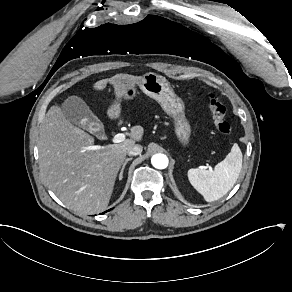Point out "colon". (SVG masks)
Masks as SVG:
<instances>
[{"mask_svg":"<svg viewBox=\"0 0 292 292\" xmlns=\"http://www.w3.org/2000/svg\"><path fill=\"white\" fill-rule=\"evenodd\" d=\"M207 97L208 108L212 115L216 130L221 134H229L231 127L226 120V108L224 104L213 93H209Z\"/></svg>","mask_w":292,"mask_h":292,"instance_id":"colon-1","label":"colon"}]
</instances>
